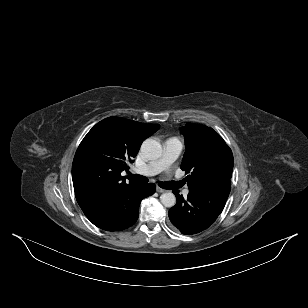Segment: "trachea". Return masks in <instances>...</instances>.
Listing matches in <instances>:
<instances>
[{
    "mask_svg": "<svg viewBox=\"0 0 308 308\" xmlns=\"http://www.w3.org/2000/svg\"><path fill=\"white\" fill-rule=\"evenodd\" d=\"M129 179H132L133 181L139 182V183H147L148 178L142 175L138 174H129ZM159 186L164 189H173L175 188L176 182H159Z\"/></svg>",
    "mask_w": 308,
    "mask_h": 308,
    "instance_id": "trachea-1",
    "label": "trachea"
}]
</instances>
